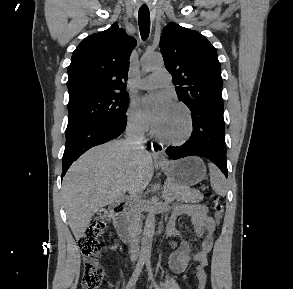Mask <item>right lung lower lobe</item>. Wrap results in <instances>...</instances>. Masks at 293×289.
Returning a JSON list of instances; mask_svg holds the SVG:
<instances>
[{
  "instance_id": "right-lung-lower-lobe-1",
  "label": "right lung lower lobe",
  "mask_w": 293,
  "mask_h": 289,
  "mask_svg": "<svg viewBox=\"0 0 293 289\" xmlns=\"http://www.w3.org/2000/svg\"><path fill=\"white\" fill-rule=\"evenodd\" d=\"M126 115L95 122L66 135L62 158V178L70 165L88 149L120 136L126 128ZM150 148V145H148Z\"/></svg>"
}]
</instances>
